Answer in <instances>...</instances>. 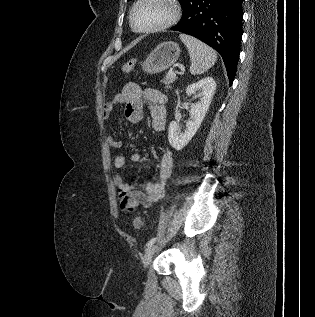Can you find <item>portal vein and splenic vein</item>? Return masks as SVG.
<instances>
[{"label": "portal vein and splenic vein", "mask_w": 315, "mask_h": 317, "mask_svg": "<svg viewBox=\"0 0 315 317\" xmlns=\"http://www.w3.org/2000/svg\"><path fill=\"white\" fill-rule=\"evenodd\" d=\"M168 74H169L170 77H176V72L175 71L170 70L168 72Z\"/></svg>", "instance_id": "portal-vein-and-splenic-vein-1"}]
</instances>
